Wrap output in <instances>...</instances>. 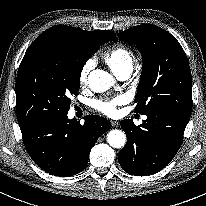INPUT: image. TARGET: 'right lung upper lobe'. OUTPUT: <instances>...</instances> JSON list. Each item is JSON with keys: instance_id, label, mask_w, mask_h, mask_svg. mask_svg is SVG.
<instances>
[{"instance_id": "cb5924a9", "label": "right lung upper lobe", "mask_w": 206, "mask_h": 206, "mask_svg": "<svg viewBox=\"0 0 206 206\" xmlns=\"http://www.w3.org/2000/svg\"><path fill=\"white\" fill-rule=\"evenodd\" d=\"M42 34L61 35L84 43H93L96 41L107 42L111 39L117 41L115 34L109 30L84 31L82 29L64 26V25L51 27L50 29L44 31Z\"/></svg>"}]
</instances>
